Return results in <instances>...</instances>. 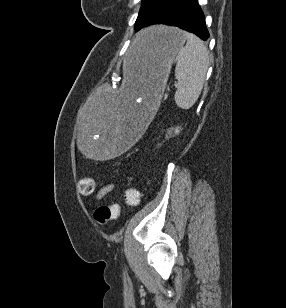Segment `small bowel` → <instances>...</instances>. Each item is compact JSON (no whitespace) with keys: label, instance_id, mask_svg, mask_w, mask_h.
Returning <instances> with one entry per match:
<instances>
[{"label":"small bowel","instance_id":"small-bowel-1","mask_svg":"<svg viewBox=\"0 0 286 308\" xmlns=\"http://www.w3.org/2000/svg\"><path fill=\"white\" fill-rule=\"evenodd\" d=\"M113 185H107L104 188H102L98 193V198H102L105 194H107L110 190H112Z\"/></svg>","mask_w":286,"mask_h":308}]
</instances>
